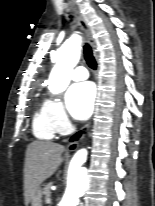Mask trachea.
Returning <instances> with one entry per match:
<instances>
[{
    "label": "trachea",
    "instance_id": "obj_1",
    "mask_svg": "<svg viewBox=\"0 0 155 206\" xmlns=\"http://www.w3.org/2000/svg\"><path fill=\"white\" fill-rule=\"evenodd\" d=\"M84 58H85V60L90 68L96 69L97 64H96L95 58L92 54V50L88 44L84 45Z\"/></svg>",
    "mask_w": 155,
    "mask_h": 206
}]
</instances>
